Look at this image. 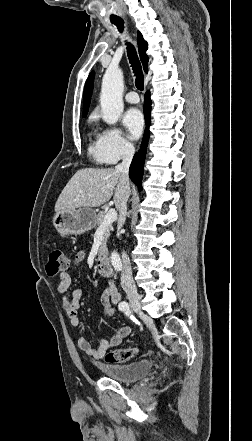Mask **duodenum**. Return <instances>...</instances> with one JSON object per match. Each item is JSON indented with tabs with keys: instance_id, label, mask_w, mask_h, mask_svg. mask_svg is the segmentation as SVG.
Listing matches in <instances>:
<instances>
[{
	"instance_id": "1",
	"label": "duodenum",
	"mask_w": 252,
	"mask_h": 441,
	"mask_svg": "<svg viewBox=\"0 0 252 441\" xmlns=\"http://www.w3.org/2000/svg\"><path fill=\"white\" fill-rule=\"evenodd\" d=\"M99 272L105 276H111L114 273L113 266L106 256H101L98 260Z\"/></svg>"
}]
</instances>
